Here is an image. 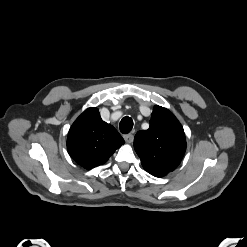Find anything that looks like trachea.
Returning <instances> with one entry per match:
<instances>
[{
    "label": "trachea",
    "instance_id": "1",
    "mask_svg": "<svg viewBox=\"0 0 247 247\" xmlns=\"http://www.w3.org/2000/svg\"><path fill=\"white\" fill-rule=\"evenodd\" d=\"M119 128L121 133L128 134L133 128V120L130 117H124L119 124Z\"/></svg>",
    "mask_w": 247,
    "mask_h": 247
}]
</instances>
